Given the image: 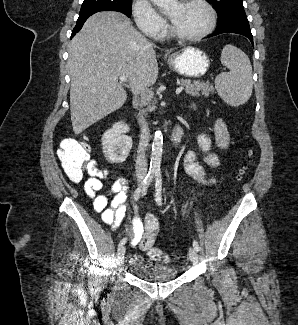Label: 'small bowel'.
<instances>
[{
	"label": "small bowel",
	"mask_w": 298,
	"mask_h": 325,
	"mask_svg": "<svg viewBox=\"0 0 298 325\" xmlns=\"http://www.w3.org/2000/svg\"><path fill=\"white\" fill-rule=\"evenodd\" d=\"M214 134L216 143L219 148L226 149L229 146L230 136L226 124L217 119L214 125ZM205 161L212 167L220 164L219 158L213 153L205 154ZM185 171L196 181L208 184L213 183V178H207L204 168L195 160V155L189 152L184 160ZM109 170L96 167L90 171L88 178L84 182V191L92 199L93 208L96 212L101 213L102 220L105 224L116 229L127 212L126 201L128 199L129 188L125 178H117L112 181L111 186L106 194H98L103 190V181L109 177ZM143 224L140 218H133L128 225V233L131 235V244L137 245L143 235Z\"/></svg>",
	"instance_id": "1"
}]
</instances>
